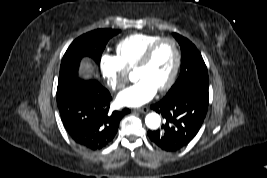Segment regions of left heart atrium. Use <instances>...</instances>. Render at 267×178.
Segmentation results:
<instances>
[{
    "instance_id": "1",
    "label": "left heart atrium",
    "mask_w": 267,
    "mask_h": 178,
    "mask_svg": "<svg viewBox=\"0 0 267 178\" xmlns=\"http://www.w3.org/2000/svg\"><path fill=\"white\" fill-rule=\"evenodd\" d=\"M157 90L147 79H140L120 92L117 102L122 106L139 107L149 102L155 96Z\"/></svg>"
}]
</instances>
